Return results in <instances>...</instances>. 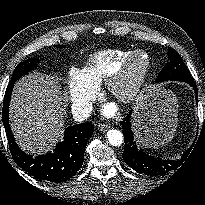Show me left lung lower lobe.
Here are the masks:
<instances>
[{
  "label": "left lung lower lobe",
  "mask_w": 205,
  "mask_h": 205,
  "mask_svg": "<svg viewBox=\"0 0 205 205\" xmlns=\"http://www.w3.org/2000/svg\"><path fill=\"white\" fill-rule=\"evenodd\" d=\"M185 82L189 83L194 88L197 95V88L194 80L191 79ZM121 124L123 128L122 132L125 138V148L122 157L125 163L136 172L148 176H160L174 170L182 162L181 160L172 161L157 159L146 154L141 149L139 150L136 146L133 133L131 131V116L128 115L126 119L121 122Z\"/></svg>",
  "instance_id": "obj_1"
}]
</instances>
